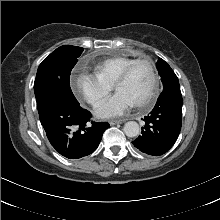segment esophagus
I'll return each mask as SVG.
<instances>
[{
    "instance_id": "esophagus-1",
    "label": "esophagus",
    "mask_w": 220,
    "mask_h": 220,
    "mask_svg": "<svg viewBox=\"0 0 220 220\" xmlns=\"http://www.w3.org/2000/svg\"><path fill=\"white\" fill-rule=\"evenodd\" d=\"M123 122H125V119L111 120L109 123L110 125H115V124H121Z\"/></svg>"
}]
</instances>
